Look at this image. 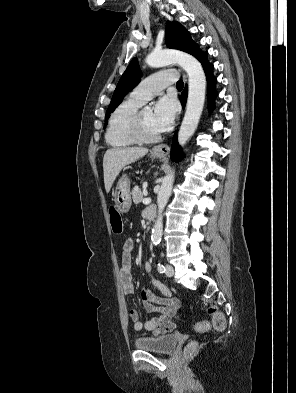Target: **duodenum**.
<instances>
[{"label":"duodenum","mask_w":296,"mask_h":393,"mask_svg":"<svg viewBox=\"0 0 296 393\" xmlns=\"http://www.w3.org/2000/svg\"><path fill=\"white\" fill-rule=\"evenodd\" d=\"M156 216V207L155 206H150L146 210V219L148 221H152Z\"/></svg>","instance_id":"obj_1"}]
</instances>
